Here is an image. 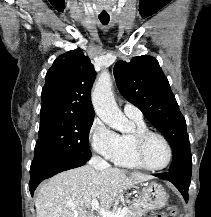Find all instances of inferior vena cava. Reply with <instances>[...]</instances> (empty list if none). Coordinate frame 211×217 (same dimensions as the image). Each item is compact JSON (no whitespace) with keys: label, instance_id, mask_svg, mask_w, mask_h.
Returning a JSON list of instances; mask_svg holds the SVG:
<instances>
[{"label":"inferior vena cava","instance_id":"inferior-vena-cava-1","mask_svg":"<svg viewBox=\"0 0 211 217\" xmlns=\"http://www.w3.org/2000/svg\"><path fill=\"white\" fill-rule=\"evenodd\" d=\"M89 164L97 171L107 168L109 164L99 156H93Z\"/></svg>","mask_w":211,"mask_h":217}]
</instances>
